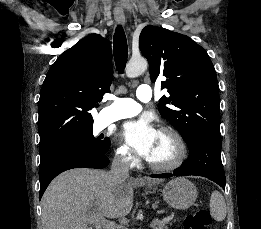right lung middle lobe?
Returning <instances> with one entry per match:
<instances>
[{
  "mask_svg": "<svg viewBox=\"0 0 261 229\" xmlns=\"http://www.w3.org/2000/svg\"><path fill=\"white\" fill-rule=\"evenodd\" d=\"M95 137L93 129L62 145L40 151V161L70 155L106 154L110 147L109 138Z\"/></svg>",
  "mask_w": 261,
  "mask_h": 229,
  "instance_id": "obj_1",
  "label": "right lung middle lobe"
}]
</instances>
